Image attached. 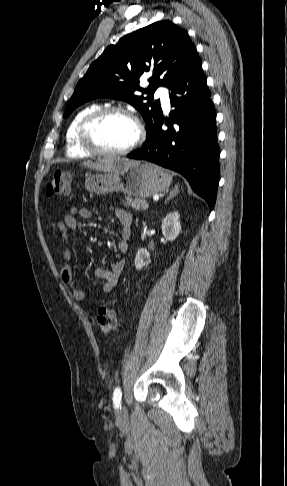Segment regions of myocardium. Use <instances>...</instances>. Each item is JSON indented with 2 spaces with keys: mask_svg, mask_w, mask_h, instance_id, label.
<instances>
[{
  "mask_svg": "<svg viewBox=\"0 0 287 486\" xmlns=\"http://www.w3.org/2000/svg\"><path fill=\"white\" fill-rule=\"evenodd\" d=\"M113 114L123 115L133 123L135 127V137L126 147L119 150L107 151L100 149L93 143L91 139V129L98 121ZM142 139L143 127L139 119L133 112L121 106L98 108L82 120L78 129V141L80 146L90 155L97 157L113 158L127 155L141 143Z\"/></svg>",
  "mask_w": 287,
  "mask_h": 486,
  "instance_id": "f54148a6",
  "label": "myocardium"
}]
</instances>
